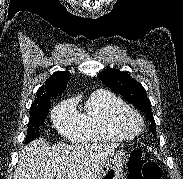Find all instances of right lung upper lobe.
<instances>
[{
	"label": "right lung upper lobe",
	"instance_id": "right-lung-upper-lobe-1",
	"mask_svg": "<svg viewBox=\"0 0 183 179\" xmlns=\"http://www.w3.org/2000/svg\"><path fill=\"white\" fill-rule=\"evenodd\" d=\"M69 76L70 73L67 71H58L50 76L45 84L39 88L36 93L37 98H35L32 106L41 105L47 101H50V98H53L58 94H62L67 86Z\"/></svg>",
	"mask_w": 183,
	"mask_h": 179
}]
</instances>
